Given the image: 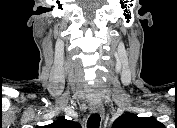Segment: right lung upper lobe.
<instances>
[{"mask_svg":"<svg viewBox=\"0 0 177 128\" xmlns=\"http://www.w3.org/2000/svg\"><path fill=\"white\" fill-rule=\"evenodd\" d=\"M51 128H79L80 124L74 121L66 120L65 117L60 118L50 125Z\"/></svg>","mask_w":177,"mask_h":128,"instance_id":"cb5924a9","label":"right lung upper lobe"}]
</instances>
